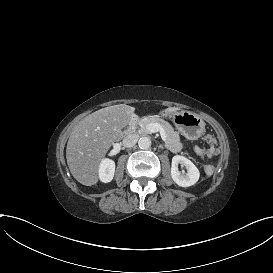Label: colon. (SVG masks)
I'll use <instances>...</instances> for the list:
<instances>
[{"mask_svg": "<svg viewBox=\"0 0 273 273\" xmlns=\"http://www.w3.org/2000/svg\"><path fill=\"white\" fill-rule=\"evenodd\" d=\"M211 170V168L210 167H207V171H210Z\"/></svg>", "mask_w": 273, "mask_h": 273, "instance_id": "colon-1", "label": "colon"}]
</instances>
